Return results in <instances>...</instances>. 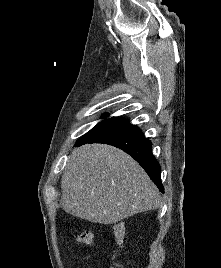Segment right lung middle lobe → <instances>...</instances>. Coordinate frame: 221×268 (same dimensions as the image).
Instances as JSON below:
<instances>
[{
  "label": "right lung middle lobe",
  "mask_w": 221,
  "mask_h": 268,
  "mask_svg": "<svg viewBox=\"0 0 221 268\" xmlns=\"http://www.w3.org/2000/svg\"><path fill=\"white\" fill-rule=\"evenodd\" d=\"M127 121L121 120L117 117H113L110 119L103 120L98 125H96L91 131H89L86 135H84L79 141H77L76 146L81 145L85 141L104 133L107 130L118 127Z\"/></svg>",
  "instance_id": "obj_1"
}]
</instances>
